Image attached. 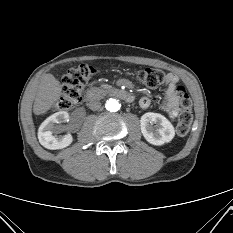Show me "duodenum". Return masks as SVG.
Listing matches in <instances>:
<instances>
[{"label": "duodenum", "instance_id": "410a0bca", "mask_svg": "<svg viewBox=\"0 0 233 233\" xmlns=\"http://www.w3.org/2000/svg\"><path fill=\"white\" fill-rule=\"evenodd\" d=\"M104 94L118 97V98L123 99L124 101H126L128 103H130L134 100L133 94H131L130 92L121 90V89H117V88L116 89H109L107 91H101L98 89H90L87 91L85 98L87 101H94Z\"/></svg>", "mask_w": 233, "mask_h": 233}]
</instances>
